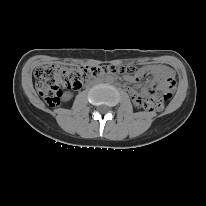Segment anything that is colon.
<instances>
[{
  "label": "colon",
  "mask_w": 206,
  "mask_h": 206,
  "mask_svg": "<svg viewBox=\"0 0 206 206\" xmlns=\"http://www.w3.org/2000/svg\"><path fill=\"white\" fill-rule=\"evenodd\" d=\"M99 72L97 68H66L58 64L46 65L36 72V88L48 105L55 106L59 103L62 90L79 89L86 80L96 76ZM108 72L131 77L139 76V71L135 68L110 67ZM174 86L173 78H167L162 86L154 87L149 95L133 97L134 102L139 107L160 110L163 102L171 97V90Z\"/></svg>",
  "instance_id": "colon-1"
}]
</instances>
